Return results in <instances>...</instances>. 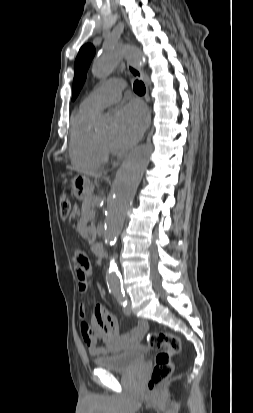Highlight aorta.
Masks as SVG:
<instances>
[{
    "instance_id": "762f6f07",
    "label": "aorta",
    "mask_w": 253,
    "mask_h": 413,
    "mask_svg": "<svg viewBox=\"0 0 253 413\" xmlns=\"http://www.w3.org/2000/svg\"><path fill=\"white\" fill-rule=\"evenodd\" d=\"M121 57H130L141 62L142 54L137 47L127 44L107 49L93 64V75L97 78L107 77L114 70ZM98 127L108 129L110 127L109 119L105 116L100 117ZM150 154L151 147L149 145L136 148L126 157L117 172L115 192L108 204L103 224V238L105 243L110 246L114 245L122 230L125 213L133 202L142 174L149 164ZM106 281L111 291H120L121 281L114 259L110 261Z\"/></svg>"
}]
</instances>
